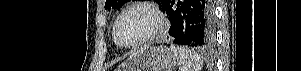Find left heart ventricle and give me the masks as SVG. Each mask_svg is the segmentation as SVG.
Masks as SVG:
<instances>
[{
  "label": "left heart ventricle",
  "instance_id": "left-heart-ventricle-1",
  "mask_svg": "<svg viewBox=\"0 0 301 71\" xmlns=\"http://www.w3.org/2000/svg\"><path fill=\"white\" fill-rule=\"evenodd\" d=\"M154 26L155 20L150 12L135 8L122 17L118 27L119 37L126 44L136 43L146 37Z\"/></svg>",
  "mask_w": 301,
  "mask_h": 71
}]
</instances>
